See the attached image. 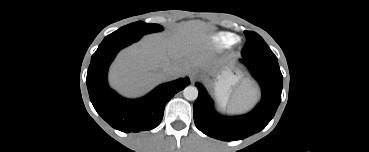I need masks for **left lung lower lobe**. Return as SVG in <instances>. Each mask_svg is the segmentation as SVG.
Masks as SVG:
<instances>
[{
	"label": "left lung lower lobe",
	"instance_id": "obj_1",
	"mask_svg": "<svg viewBox=\"0 0 369 152\" xmlns=\"http://www.w3.org/2000/svg\"><path fill=\"white\" fill-rule=\"evenodd\" d=\"M262 89V100L250 113L243 116L222 117L212 108V100L201 84H196L199 96L194 102V122L204 134L222 140L235 141L251 136L273 118L281 101L282 74L277 60L254 59L242 56Z\"/></svg>",
	"mask_w": 369,
	"mask_h": 152
}]
</instances>
